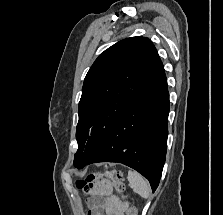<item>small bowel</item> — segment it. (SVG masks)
I'll use <instances>...</instances> for the list:
<instances>
[{"label":"small bowel","instance_id":"1","mask_svg":"<svg viewBox=\"0 0 223 215\" xmlns=\"http://www.w3.org/2000/svg\"><path fill=\"white\" fill-rule=\"evenodd\" d=\"M88 193L93 196L89 215H126L128 203L120 201L113 195L109 180L96 181Z\"/></svg>","mask_w":223,"mask_h":215}]
</instances>
